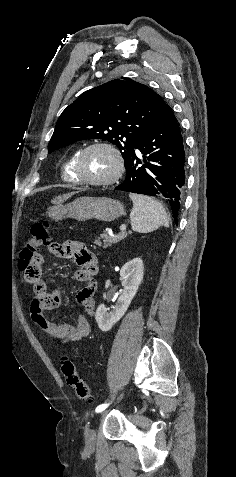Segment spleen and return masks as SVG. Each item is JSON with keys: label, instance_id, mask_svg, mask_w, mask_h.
Segmentation results:
<instances>
[{"label": "spleen", "instance_id": "3e777b00", "mask_svg": "<svg viewBox=\"0 0 236 477\" xmlns=\"http://www.w3.org/2000/svg\"><path fill=\"white\" fill-rule=\"evenodd\" d=\"M133 208L130 213L131 227L135 232L149 233L161 226L168 227L169 219L163 206L154 198L129 194Z\"/></svg>", "mask_w": 236, "mask_h": 477}]
</instances>
